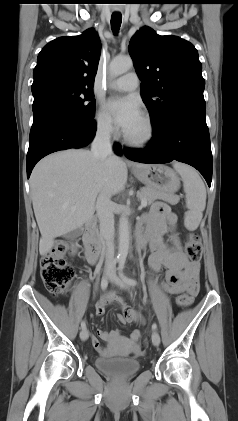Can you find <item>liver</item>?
I'll return each mask as SVG.
<instances>
[{
  "label": "liver",
  "instance_id": "liver-1",
  "mask_svg": "<svg viewBox=\"0 0 238 421\" xmlns=\"http://www.w3.org/2000/svg\"><path fill=\"white\" fill-rule=\"evenodd\" d=\"M126 182L127 165L114 155L95 159L92 151L70 149L38 162L30 177V189L41 233L40 254L51 250L55 238L82 227L93 217L100 193L118 194Z\"/></svg>",
  "mask_w": 238,
  "mask_h": 421
}]
</instances>
